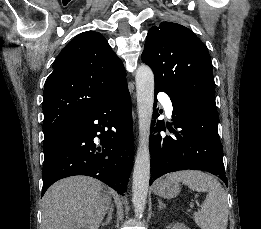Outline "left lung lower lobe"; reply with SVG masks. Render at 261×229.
<instances>
[{
  "mask_svg": "<svg viewBox=\"0 0 261 229\" xmlns=\"http://www.w3.org/2000/svg\"><path fill=\"white\" fill-rule=\"evenodd\" d=\"M161 91L165 92L155 86V95ZM168 95L173 104L172 124L179 130H173L172 137L161 136L156 133L166 129L164 121L156 122L150 141L153 172L149 184L166 173L190 169L218 175L228 185L216 105L193 96ZM158 116L155 110L154 119Z\"/></svg>",
  "mask_w": 261,
  "mask_h": 229,
  "instance_id": "1",
  "label": "left lung lower lobe"
}]
</instances>
